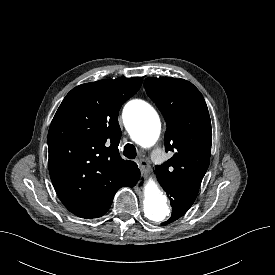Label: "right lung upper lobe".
<instances>
[{"label": "right lung upper lobe", "instance_id": "right-lung-upper-lobe-1", "mask_svg": "<svg viewBox=\"0 0 275 275\" xmlns=\"http://www.w3.org/2000/svg\"><path fill=\"white\" fill-rule=\"evenodd\" d=\"M142 81L117 78L79 85L66 95L51 122L50 177L61 202L79 217L104 215L137 169L119 154L118 113Z\"/></svg>", "mask_w": 275, "mask_h": 275}]
</instances>
